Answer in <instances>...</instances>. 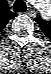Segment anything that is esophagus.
<instances>
[{
  "instance_id": "1",
  "label": "esophagus",
  "mask_w": 51,
  "mask_h": 74,
  "mask_svg": "<svg viewBox=\"0 0 51 74\" xmlns=\"http://www.w3.org/2000/svg\"><path fill=\"white\" fill-rule=\"evenodd\" d=\"M27 14H29L30 16H34V15H35V11L30 9V10L27 12Z\"/></svg>"
}]
</instances>
